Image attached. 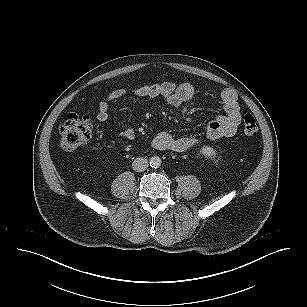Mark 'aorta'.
<instances>
[{"instance_id": "aorta-1", "label": "aorta", "mask_w": 307, "mask_h": 307, "mask_svg": "<svg viewBox=\"0 0 307 307\" xmlns=\"http://www.w3.org/2000/svg\"><path fill=\"white\" fill-rule=\"evenodd\" d=\"M149 163L152 168H159L161 166L162 160L158 156H153L150 158Z\"/></svg>"}]
</instances>
